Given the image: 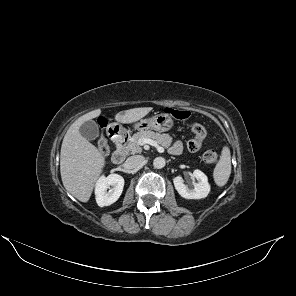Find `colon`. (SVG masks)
<instances>
[{"label":"colon","instance_id":"1","mask_svg":"<svg viewBox=\"0 0 296 296\" xmlns=\"http://www.w3.org/2000/svg\"><path fill=\"white\" fill-rule=\"evenodd\" d=\"M166 113L179 120H186L189 118V112L186 110H178L173 108H166ZM189 129L194 134L188 143V149L191 151H198L206 138V129L198 123H192L189 125ZM97 148L101 154L108 152L109 146L107 139L104 136L99 137L97 141ZM202 159L205 163L215 164L218 161V155L214 150H207L203 153Z\"/></svg>","mask_w":296,"mask_h":296}]
</instances>
